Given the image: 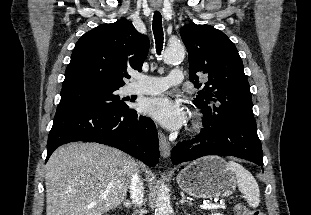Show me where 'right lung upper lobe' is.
<instances>
[{"label":"right lung upper lobe","mask_w":311,"mask_h":215,"mask_svg":"<svg viewBox=\"0 0 311 215\" xmlns=\"http://www.w3.org/2000/svg\"><path fill=\"white\" fill-rule=\"evenodd\" d=\"M148 49V37L139 33L129 20L122 18L112 24H101L77 41L63 86L94 83L122 87L123 78L130 77L127 68L142 71Z\"/></svg>","instance_id":"cb5924a9"}]
</instances>
